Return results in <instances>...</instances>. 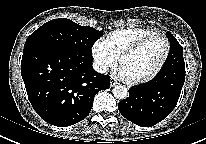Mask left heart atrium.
Returning <instances> with one entry per match:
<instances>
[{
    "label": "left heart atrium",
    "instance_id": "1",
    "mask_svg": "<svg viewBox=\"0 0 206 144\" xmlns=\"http://www.w3.org/2000/svg\"><path fill=\"white\" fill-rule=\"evenodd\" d=\"M120 74H121V76L128 78L126 72L122 68L120 69Z\"/></svg>",
    "mask_w": 206,
    "mask_h": 144
}]
</instances>
